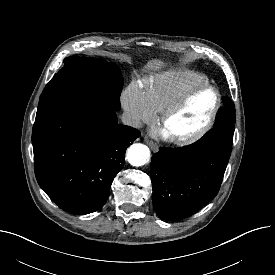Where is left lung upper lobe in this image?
I'll use <instances>...</instances> for the list:
<instances>
[{"instance_id":"obj_1","label":"left lung upper lobe","mask_w":275,"mask_h":275,"mask_svg":"<svg viewBox=\"0 0 275 275\" xmlns=\"http://www.w3.org/2000/svg\"><path fill=\"white\" fill-rule=\"evenodd\" d=\"M223 101H224V108L227 110L226 116L221 121L215 120L214 127H226V128L235 129L234 127V124L236 121L235 105L230 100L229 97H224Z\"/></svg>"}]
</instances>
